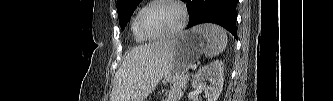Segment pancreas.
<instances>
[{
	"label": "pancreas",
	"instance_id": "1",
	"mask_svg": "<svg viewBox=\"0 0 333 101\" xmlns=\"http://www.w3.org/2000/svg\"><path fill=\"white\" fill-rule=\"evenodd\" d=\"M188 80L189 76L187 74L183 75L170 87L168 93L165 94L166 98L163 99V101H179L184 94Z\"/></svg>",
	"mask_w": 333,
	"mask_h": 101
}]
</instances>
